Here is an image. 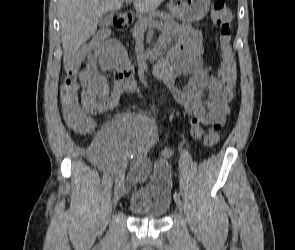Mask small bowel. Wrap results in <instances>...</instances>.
I'll return each mask as SVG.
<instances>
[{"label":"small bowel","mask_w":295,"mask_h":250,"mask_svg":"<svg viewBox=\"0 0 295 250\" xmlns=\"http://www.w3.org/2000/svg\"><path fill=\"white\" fill-rule=\"evenodd\" d=\"M157 47L166 50V54L154 66V74L183 106L192 137L202 139L205 127L215 128L216 144L220 139L217 131L231 110L233 88L226 87L204 65L202 34L188 25H172L164 30ZM125 63L122 45L109 40L98 54L79 51L72 55L66 65V77L79 79L82 103L100 113L115 108L123 96L134 92L132 75L121 72ZM180 78L187 80L184 86L178 84ZM155 138L156 128L151 121L129 113L117 117L101 132L98 145L106 163L123 164L132 157L127 179L139 183L151 170L147 153ZM171 155L170 149L162 153L164 158Z\"/></svg>","instance_id":"1"}]
</instances>
